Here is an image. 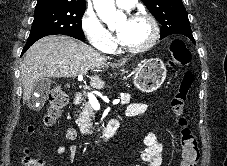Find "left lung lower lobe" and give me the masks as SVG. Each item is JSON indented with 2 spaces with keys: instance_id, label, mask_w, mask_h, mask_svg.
<instances>
[{
  "instance_id": "obj_1",
  "label": "left lung lower lobe",
  "mask_w": 227,
  "mask_h": 166,
  "mask_svg": "<svg viewBox=\"0 0 227 166\" xmlns=\"http://www.w3.org/2000/svg\"><path fill=\"white\" fill-rule=\"evenodd\" d=\"M190 39H191V41H192L193 43H195V40H194V38H193V37H191Z\"/></svg>"
}]
</instances>
